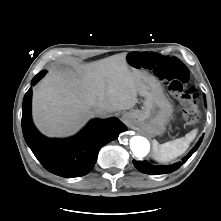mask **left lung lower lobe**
Here are the masks:
<instances>
[{"instance_id": "1", "label": "left lung lower lobe", "mask_w": 221, "mask_h": 221, "mask_svg": "<svg viewBox=\"0 0 221 221\" xmlns=\"http://www.w3.org/2000/svg\"><path fill=\"white\" fill-rule=\"evenodd\" d=\"M202 139L203 138H201L198 141L196 146L190 151V153L181 162H177L174 165L156 166L148 161H135V160H133V164L139 171H141L142 173H146V174H165V173L173 172L177 170L183 163H185L190 158V156L197 150V148L201 144Z\"/></svg>"}]
</instances>
